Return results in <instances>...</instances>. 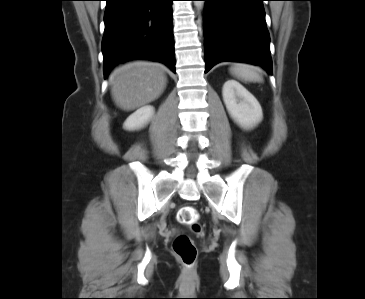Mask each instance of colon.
I'll return each mask as SVG.
<instances>
[{"instance_id":"colon-1","label":"colon","mask_w":365,"mask_h":299,"mask_svg":"<svg viewBox=\"0 0 365 299\" xmlns=\"http://www.w3.org/2000/svg\"><path fill=\"white\" fill-rule=\"evenodd\" d=\"M177 218L181 224L187 225L194 233L199 234L201 232L199 215L195 207H182L178 212ZM173 251L185 266H192L196 261L197 248L187 234H180L175 238Z\"/></svg>"}]
</instances>
